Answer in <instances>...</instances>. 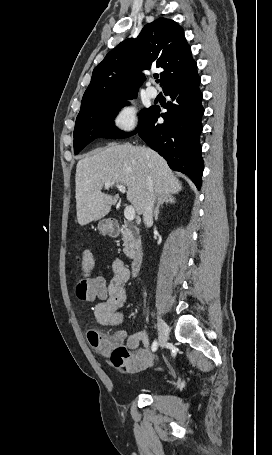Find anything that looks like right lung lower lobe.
<instances>
[{
	"label": "right lung lower lobe",
	"mask_w": 272,
	"mask_h": 455,
	"mask_svg": "<svg viewBox=\"0 0 272 455\" xmlns=\"http://www.w3.org/2000/svg\"><path fill=\"white\" fill-rule=\"evenodd\" d=\"M200 77L197 70L188 76L167 85L163 91L169 95L165 108L154 107L149 118L137 131L139 136L167 161L171 169L188 175L196 187H201L203 159L199 135L204 114ZM164 123H157L159 117Z\"/></svg>",
	"instance_id": "98d812e1"
}]
</instances>
